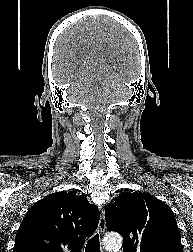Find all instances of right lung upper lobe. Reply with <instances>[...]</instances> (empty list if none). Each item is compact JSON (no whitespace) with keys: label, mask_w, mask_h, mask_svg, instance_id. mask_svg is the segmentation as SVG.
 I'll return each mask as SVG.
<instances>
[{"label":"right lung upper lobe","mask_w":193,"mask_h":252,"mask_svg":"<svg viewBox=\"0 0 193 252\" xmlns=\"http://www.w3.org/2000/svg\"><path fill=\"white\" fill-rule=\"evenodd\" d=\"M99 211L75 192H57L36 202L15 238V252H78L96 230Z\"/></svg>","instance_id":"cb5924a9"}]
</instances>
